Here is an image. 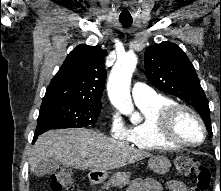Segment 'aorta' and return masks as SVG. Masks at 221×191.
<instances>
[{
    "instance_id": "762f6f07",
    "label": "aorta",
    "mask_w": 221,
    "mask_h": 191,
    "mask_svg": "<svg viewBox=\"0 0 221 191\" xmlns=\"http://www.w3.org/2000/svg\"><path fill=\"white\" fill-rule=\"evenodd\" d=\"M137 62L138 58L134 53H126L119 57L107 82V92L111 103L125 115H133L130 83Z\"/></svg>"
}]
</instances>
